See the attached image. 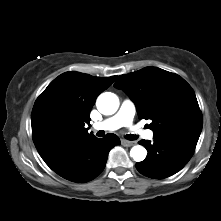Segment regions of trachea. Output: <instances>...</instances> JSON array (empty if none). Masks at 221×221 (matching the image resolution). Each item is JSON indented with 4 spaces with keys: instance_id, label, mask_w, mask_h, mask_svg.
<instances>
[{
    "instance_id": "1",
    "label": "trachea",
    "mask_w": 221,
    "mask_h": 221,
    "mask_svg": "<svg viewBox=\"0 0 221 221\" xmlns=\"http://www.w3.org/2000/svg\"><path fill=\"white\" fill-rule=\"evenodd\" d=\"M97 135H98L99 137H102V136L104 135V132H103V131H99V132L97 133ZM137 137H138V136L133 135V134H128V135H126V139H128V140H136Z\"/></svg>"
}]
</instances>
